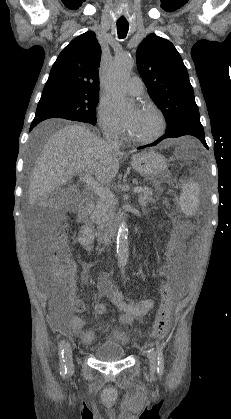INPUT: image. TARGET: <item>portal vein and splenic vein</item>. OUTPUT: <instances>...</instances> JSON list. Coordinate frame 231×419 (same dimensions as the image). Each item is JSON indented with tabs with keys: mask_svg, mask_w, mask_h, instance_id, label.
Returning <instances> with one entry per match:
<instances>
[{
	"mask_svg": "<svg viewBox=\"0 0 231 419\" xmlns=\"http://www.w3.org/2000/svg\"><path fill=\"white\" fill-rule=\"evenodd\" d=\"M82 180L86 183L90 190H92L95 194H97L101 198L110 199L113 198V193L103 185L99 184L97 181L92 178L89 172L82 173ZM134 193H140L143 191L142 187H135Z\"/></svg>",
	"mask_w": 231,
	"mask_h": 419,
	"instance_id": "18ae733b",
	"label": "portal vein and splenic vein"
}]
</instances>
